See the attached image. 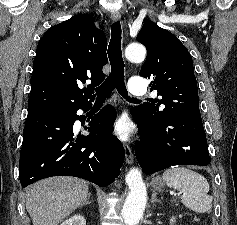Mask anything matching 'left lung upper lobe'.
I'll return each instance as SVG.
<instances>
[{
	"label": "left lung upper lobe",
	"mask_w": 237,
	"mask_h": 225,
	"mask_svg": "<svg viewBox=\"0 0 237 225\" xmlns=\"http://www.w3.org/2000/svg\"><path fill=\"white\" fill-rule=\"evenodd\" d=\"M147 49V59L140 76L153 81L151 90H157L161 99L137 108L147 124L160 125L192 107H198L197 81L193 61L187 48L169 31L147 21L137 35Z\"/></svg>",
	"instance_id": "5c2ea615"
}]
</instances>
